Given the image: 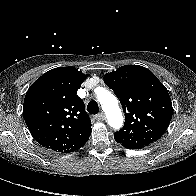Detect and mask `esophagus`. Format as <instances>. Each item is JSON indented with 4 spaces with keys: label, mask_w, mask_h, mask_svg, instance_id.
Returning a JSON list of instances; mask_svg holds the SVG:
<instances>
[{
    "label": "esophagus",
    "mask_w": 196,
    "mask_h": 196,
    "mask_svg": "<svg viewBox=\"0 0 196 196\" xmlns=\"http://www.w3.org/2000/svg\"><path fill=\"white\" fill-rule=\"evenodd\" d=\"M95 119L98 120V121H104L105 120L104 113H100V114L96 115Z\"/></svg>",
    "instance_id": "esophagus-1"
}]
</instances>
